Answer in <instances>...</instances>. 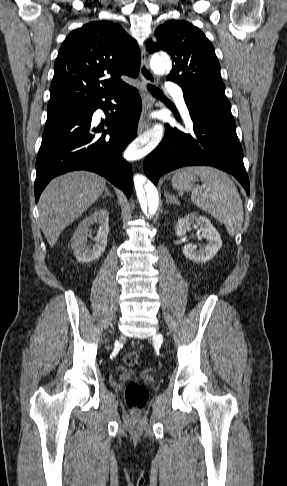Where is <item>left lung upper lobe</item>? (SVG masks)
<instances>
[{
    "mask_svg": "<svg viewBox=\"0 0 287 486\" xmlns=\"http://www.w3.org/2000/svg\"><path fill=\"white\" fill-rule=\"evenodd\" d=\"M157 42L149 41L150 53L163 50L174 61L167 77L183 89L187 102L205 113L235 124L225 96L220 64L203 32L187 21L170 20L155 30Z\"/></svg>",
    "mask_w": 287,
    "mask_h": 486,
    "instance_id": "left-lung-upper-lobe-1",
    "label": "left lung upper lobe"
}]
</instances>
